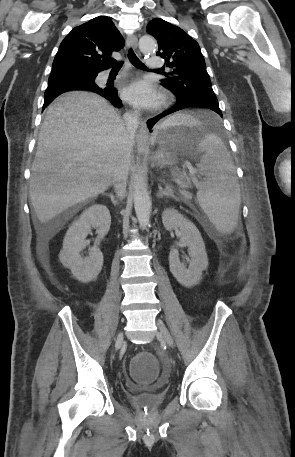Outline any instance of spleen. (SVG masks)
<instances>
[{"label":"spleen","instance_id":"spleen-1","mask_svg":"<svg viewBox=\"0 0 295 457\" xmlns=\"http://www.w3.org/2000/svg\"><path fill=\"white\" fill-rule=\"evenodd\" d=\"M176 124L197 125L200 120L178 113L166 119L161 127ZM197 149L203 153L198 170L204 176L199 184L197 200L214 227L222 234H230L237 225L241 203L238 178L230 153L222 140L213 134H209ZM172 174L178 175V172L172 171Z\"/></svg>","mask_w":295,"mask_h":457}]
</instances>
